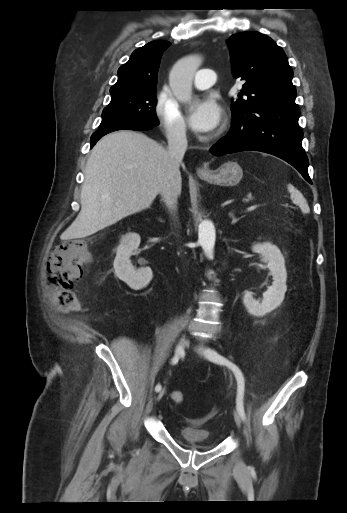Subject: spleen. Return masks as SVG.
<instances>
[{"instance_id": "3e777b00", "label": "spleen", "mask_w": 347, "mask_h": 513, "mask_svg": "<svg viewBox=\"0 0 347 513\" xmlns=\"http://www.w3.org/2000/svg\"><path fill=\"white\" fill-rule=\"evenodd\" d=\"M288 192L290 193V198L294 204L298 205L303 213H309L310 208L308 203L302 193L292 184L287 185Z\"/></svg>"}]
</instances>
